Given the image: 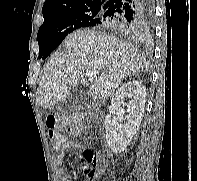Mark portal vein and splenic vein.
<instances>
[{"label":"portal vein and splenic vein","instance_id":"1","mask_svg":"<svg viewBox=\"0 0 197 181\" xmlns=\"http://www.w3.org/2000/svg\"><path fill=\"white\" fill-rule=\"evenodd\" d=\"M97 73L95 71H87L86 76L90 79L93 80L96 77Z\"/></svg>","mask_w":197,"mask_h":181}]
</instances>
